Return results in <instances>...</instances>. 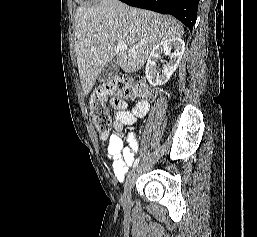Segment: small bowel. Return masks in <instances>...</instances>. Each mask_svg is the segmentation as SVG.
Segmentation results:
<instances>
[{"instance_id": "small-bowel-1", "label": "small bowel", "mask_w": 257, "mask_h": 237, "mask_svg": "<svg viewBox=\"0 0 257 237\" xmlns=\"http://www.w3.org/2000/svg\"><path fill=\"white\" fill-rule=\"evenodd\" d=\"M114 108L116 109L113 122L115 133L111 136L105 154L111 162L115 179L122 182L134 161L135 152L139 150V144L133 132L126 136L127 144H125L120 132L125 126L134 125L139 118L144 117L149 110V103L146 100H141L129 110L128 104L122 102L115 104Z\"/></svg>"}]
</instances>
